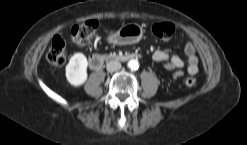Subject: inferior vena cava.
Segmentation results:
<instances>
[{"label":"inferior vena cava","mask_w":247,"mask_h":145,"mask_svg":"<svg viewBox=\"0 0 247 145\" xmlns=\"http://www.w3.org/2000/svg\"><path fill=\"white\" fill-rule=\"evenodd\" d=\"M108 72H115L121 69V63L119 61H109L106 65Z\"/></svg>","instance_id":"602c4592"}]
</instances>
